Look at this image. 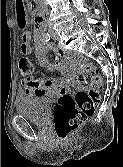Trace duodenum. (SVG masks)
I'll return each mask as SVG.
<instances>
[{"label": "duodenum", "mask_w": 123, "mask_h": 167, "mask_svg": "<svg viewBox=\"0 0 123 167\" xmlns=\"http://www.w3.org/2000/svg\"><path fill=\"white\" fill-rule=\"evenodd\" d=\"M31 9L35 14L36 22L40 24V29L43 31L44 28V15L40 9V3L38 0H31Z\"/></svg>", "instance_id": "1"}]
</instances>
